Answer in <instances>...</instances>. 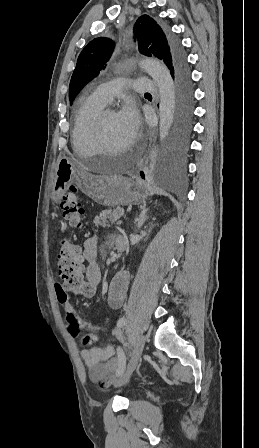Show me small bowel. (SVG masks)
Returning a JSON list of instances; mask_svg holds the SVG:
<instances>
[{"label":"small bowel","instance_id":"1","mask_svg":"<svg viewBox=\"0 0 259 448\" xmlns=\"http://www.w3.org/2000/svg\"><path fill=\"white\" fill-rule=\"evenodd\" d=\"M119 242H124L122 237L116 239V246ZM83 259L89 265L86 269V278L90 286L95 290L101 280V272L96 264L97 257V238L92 237L85 241L83 248ZM129 286V273L126 271L118 272L110 282L107 303L112 309H119L124 301ZM56 296L59 304L65 311V322L73 336H77L80 329H88L89 332H99L101 328L91 323L81 320L75 313L64 288L56 285ZM112 334L118 336L119 333L113 329ZM80 343L83 346L80 355L89 370L90 378L99 382L102 386H107L114 379V375L124 370L126 361L121 360L116 354L115 346L107 345L104 348H87L84 343V336L81 337Z\"/></svg>","mask_w":259,"mask_h":448}]
</instances>
